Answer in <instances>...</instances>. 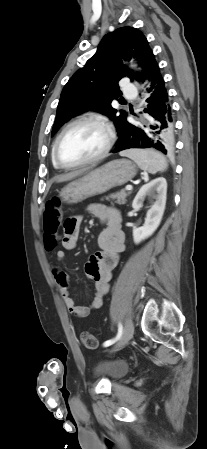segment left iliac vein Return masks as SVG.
<instances>
[{
  "mask_svg": "<svg viewBox=\"0 0 207 449\" xmlns=\"http://www.w3.org/2000/svg\"><path fill=\"white\" fill-rule=\"evenodd\" d=\"M133 334H134V324L131 319H128L126 321L122 336L120 337L119 341L116 343L114 349L118 350L121 347H123L133 337Z\"/></svg>",
  "mask_w": 207,
  "mask_h": 449,
  "instance_id": "4c4485c4",
  "label": "left iliac vein"
}]
</instances>
